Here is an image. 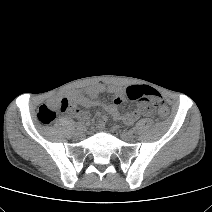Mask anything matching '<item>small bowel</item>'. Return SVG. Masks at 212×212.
<instances>
[{
	"label": "small bowel",
	"mask_w": 212,
	"mask_h": 212,
	"mask_svg": "<svg viewBox=\"0 0 212 212\" xmlns=\"http://www.w3.org/2000/svg\"><path fill=\"white\" fill-rule=\"evenodd\" d=\"M105 92L113 95V101L109 104H104L103 108L116 120L122 121L125 124H131L141 116H149L152 114V108L145 102L138 103L137 109L127 115H121L119 112L120 106L125 100L126 91H123L117 86H106L102 83L94 84L88 87L84 92H74L68 97V103L71 115L81 121L89 120V113L86 110L80 109L82 106L89 109L99 104V96ZM106 122L103 117L101 125Z\"/></svg>",
	"instance_id": "obj_1"
}]
</instances>
